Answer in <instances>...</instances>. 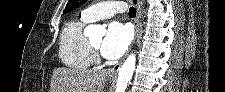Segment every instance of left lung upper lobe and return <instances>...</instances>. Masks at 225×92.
I'll list each match as a JSON object with an SVG mask.
<instances>
[{
	"mask_svg": "<svg viewBox=\"0 0 225 92\" xmlns=\"http://www.w3.org/2000/svg\"><path fill=\"white\" fill-rule=\"evenodd\" d=\"M85 2L86 0H69L63 14H66L71 12L72 10H75L76 8H78Z\"/></svg>",
	"mask_w": 225,
	"mask_h": 92,
	"instance_id": "5c2ea615",
	"label": "left lung upper lobe"
}]
</instances>
